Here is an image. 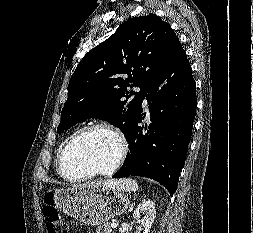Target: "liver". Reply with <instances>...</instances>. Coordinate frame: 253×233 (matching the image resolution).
<instances>
[{
	"label": "liver",
	"mask_w": 253,
	"mask_h": 233,
	"mask_svg": "<svg viewBox=\"0 0 253 233\" xmlns=\"http://www.w3.org/2000/svg\"><path fill=\"white\" fill-rule=\"evenodd\" d=\"M94 183H100V182H94ZM111 184H112V180L104 182V185H106V186H111Z\"/></svg>",
	"instance_id": "obj_1"
}]
</instances>
